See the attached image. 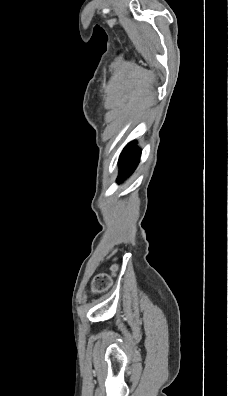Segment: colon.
Segmentation results:
<instances>
[{
	"label": "colon",
	"mask_w": 228,
	"mask_h": 396,
	"mask_svg": "<svg viewBox=\"0 0 228 396\" xmlns=\"http://www.w3.org/2000/svg\"><path fill=\"white\" fill-rule=\"evenodd\" d=\"M112 274L116 271V266H112ZM111 283V275L106 273L98 274L92 283V290L94 292H103L105 291Z\"/></svg>",
	"instance_id": "obj_1"
}]
</instances>
